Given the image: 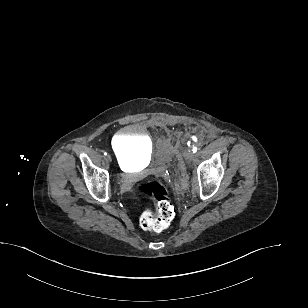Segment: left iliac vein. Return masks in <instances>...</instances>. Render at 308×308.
Listing matches in <instances>:
<instances>
[{
    "label": "left iliac vein",
    "mask_w": 308,
    "mask_h": 308,
    "mask_svg": "<svg viewBox=\"0 0 308 308\" xmlns=\"http://www.w3.org/2000/svg\"><path fill=\"white\" fill-rule=\"evenodd\" d=\"M184 159L189 162L192 161L194 158V153L191 150H186L183 153Z\"/></svg>",
    "instance_id": "1"
}]
</instances>
